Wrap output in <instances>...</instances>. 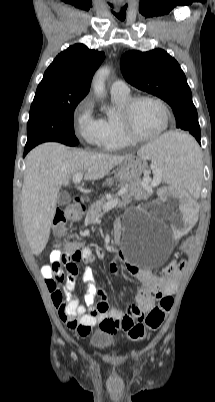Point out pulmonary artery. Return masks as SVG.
I'll list each match as a JSON object with an SVG mask.
<instances>
[{
  "label": "pulmonary artery",
  "mask_w": 215,
  "mask_h": 402,
  "mask_svg": "<svg viewBox=\"0 0 215 402\" xmlns=\"http://www.w3.org/2000/svg\"><path fill=\"white\" fill-rule=\"evenodd\" d=\"M130 89L128 85L122 80H116L111 85V93L112 94H121L126 95L129 94Z\"/></svg>",
  "instance_id": "obj_1"
}]
</instances>
